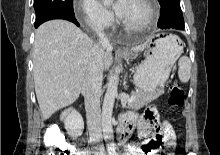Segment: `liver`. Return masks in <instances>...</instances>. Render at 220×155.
<instances>
[{"mask_svg": "<svg viewBox=\"0 0 220 155\" xmlns=\"http://www.w3.org/2000/svg\"><path fill=\"white\" fill-rule=\"evenodd\" d=\"M94 45L81 29L65 20L45 22L36 30L33 76L44 119L78 99ZM143 48L135 47L133 51ZM102 59L103 69L107 70L113 62L111 49L104 51Z\"/></svg>", "mask_w": 220, "mask_h": 155, "instance_id": "6515ba94", "label": "liver"}]
</instances>
